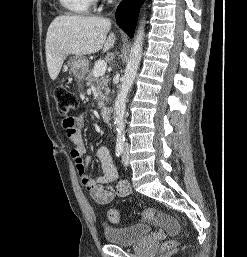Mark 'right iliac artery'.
I'll use <instances>...</instances> for the list:
<instances>
[{
    "mask_svg": "<svg viewBox=\"0 0 247 257\" xmlns=\"http://www.w3.org/2000/svg\"><path fill=\"white\" fill-rule=\"evenodd\" d=\"M123 149H124V139H119L117 140V143H116V156H121L122 153H123Z\"/></svg>",
    "mask_w": 247,
    "mask_h": 257,
    "instance_id": "82829eb1",
    "label": "right iliac artery"
}]
</instances>
